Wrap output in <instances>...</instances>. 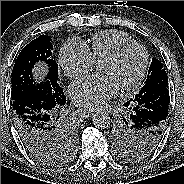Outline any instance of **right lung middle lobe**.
<instances>
[{"label": "right lung middle lobe", "mask_w": 184, "mask_h": 184, "mask_svg": "<svg viewBox=\"0 0 184 184\" xmlns=\"http://www.w3.org/2000/svg\"><path fill=\"white\" fill-rule=\"evenodd\" d=\"M51 37L41 35L27 44L19 53L12 70L11 99L35 97L50 99L60 86L58 64L51 58L53 45ZM38 62H45L49 71L45 82H35L32 70ZM55 138L46 145L28 149L30 153L45 164H54L62 160L65 152L70 153L74 146V129L68 124L56 128ZM63 156V157H62Z\"/></svg>", "instance_id": "obj_1"}]
</instances>
